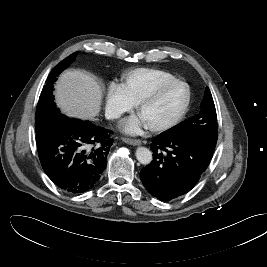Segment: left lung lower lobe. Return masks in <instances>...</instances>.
Segmentation results:
<instances>
[{
  "label": "left lung lower lobe",
  "mask_w": 267,
  "mask_h": 267,
  "mask_svg": "<svg viewBox=\"0 0 267 267\" xmlns=\"http://www.w3.org/2000/svg\"><path fill=\"white\" fill-rule=\"evenodd\" d=\"M153 161L140 172L147 191L163 201L189 192L208 167L214 149L192 136L160 134L150 145Z\"/></svg>",
  "instance_id": "0a47b994"
}]
</instances>
